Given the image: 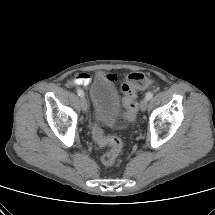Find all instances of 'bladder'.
Instances as JSON below:
<instances>
[{"label":"bladder","instance_id":"bladder-1","mask_svg":"<svg viewBox=\"0 0 215 215\" xmlns=\"http://www.w3.org/2000/svg\"><path fill=\"white\" fill-rule=\"evenodd\" d=\"M94 117L105 125L113 124L121 113L118 90L109 76L98 73L90 88Z\"/></svg>","mask_w":215,"mask_h":215}]
</instances>
